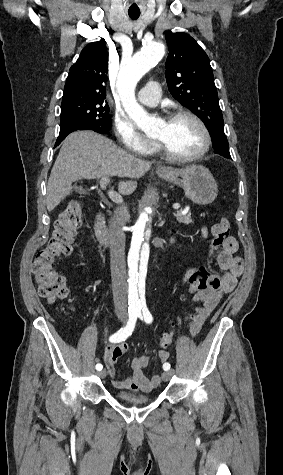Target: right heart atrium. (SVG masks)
<instances>
[{
    "instance_id": "1",
    "label": "right heart atrium",
    "mask_w": 283,
    "mask_h": 475,
    "mask_svg": "<svg viewBox=\"0 0 283 475\" xmlns=\"http://www.w3.org/2000/svg\"><path fill=\"white\" fill-rule=\"evenodd\" d=\"M112 131L118 138V150L125 155H144L147 157L153 149V141L134 127L131 119L122 113H116L112 121Z\"/></svg>"
}]
</instances>
